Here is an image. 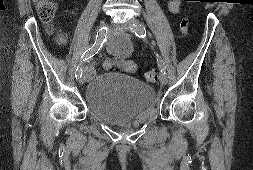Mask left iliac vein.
<instances>
[{
	"label": "left iliac vein",
	"mask_w": 253,
	"mask_h": 170,
	"mask_svg": "<svg viewBox=\"0 0 253 170\" xmlns=\"http://www.w3.org/2000/svg\"><path fill=\"white\" fill-rule=\"evenodd\" d=\"M138 24H140L139 20L133 18V19L129 20V22L127 23L126 26H127V28H128L130 31H132V27H133L134 25H138ZM160 81H161V83H162L163 85H166L167 82H168L167 75H166L164 72H161V73H160Z\"/></svg>",
	"instance_id": "4c4485c4"
}]
</instances>
